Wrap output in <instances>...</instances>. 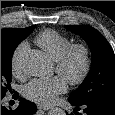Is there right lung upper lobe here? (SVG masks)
<instances>
[{
  "label": "right lung upper lobe",
  "mask_w": 115,
  "mask_h": 115,
  "mask_svg": "<svg viewBox=\"0 0 115 115\" xmlns=\"http://www.w3.org/2000/svg\"><path fill=\"white\" fill-rule=\"evenodd\" d=\"M33 26H30L28 28H5L1 29V42L5 40H12L17 36H20L21 34L25 33L29 28Z\"/></svg>",
  "instance_id": "1"
}]
</instances>
